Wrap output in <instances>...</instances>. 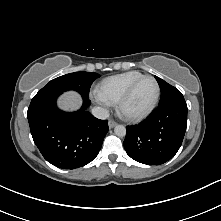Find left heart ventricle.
I'll use <instances>...</instances> for the list:
<instances>
[{"mask_svg":"<svg viewBox=\"0 0 221 221\" xmlns=\"http://www.w3.org/2000/svg\"><path fill=\"white\" fill-rule=\"evenodd\" d=\"M155 93V83L151 79L143 80L136 87L132 97L127 103V110L131 113H138L145 110L153 101Z\"/></svg>","mask_w":221,"mask_h":221,"instance_id":"obj_1","label":"left heart ventricle"}]
</instances>
